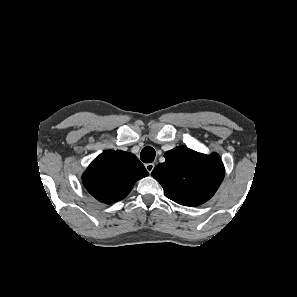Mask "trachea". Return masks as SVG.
Wrapping results in <instances>:
<instances>
[{"label":"trachea","mask_w":297,"mask_h":297,"mask_svg":"<svg viewBox=\"0 0 297 297\" xmlns=\"http://www.w3.org/2000/svg\"><path fill=\"white\" fill-rule=\"evenodd\" d=\"M155 155H156L155 150L150 146H146L141 151L140 159L144 163H151L154 161Z\"/></svg>","instance_id":"3493384b"}]
</instances>
